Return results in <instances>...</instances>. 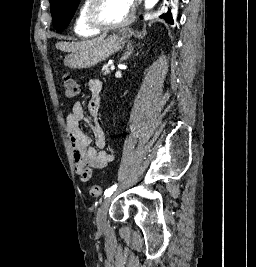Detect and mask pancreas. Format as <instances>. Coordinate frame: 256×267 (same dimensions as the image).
<instances>
[{"label":"pancreas","mask_w":256,"mask_h":267,"mask_svg":"<svg viewBox=\"0 0 256 267\" xmlns=\"http://www.w3.org/2000/svg\"><path fill=\"white\" fill-rule=\"evenodd\" d=\"M102 74H103V76H107V74H110V70H109L107 64H105V66H103Z\"/></svg>","instance_id":"cf45deb5"}]
</instances>
